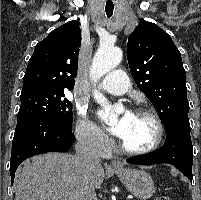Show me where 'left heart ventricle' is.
<instances>
[{"instance_id":"1","label":"left heart ventricle","mask_w":201,"mask_h":200,"mask_svg":"<svg viewBox=\"0 0 201 200\" xmlns=\"http://www.w3.org/2000/svg\"><path fill=\"white\" fill-rule=\"evenodd\" d=\"M156 134V126L149 117L132 113L126 121L121 140L129 148L142 149L154 142Z\"/></svg>"}]
</instances>
